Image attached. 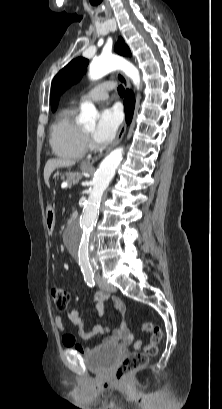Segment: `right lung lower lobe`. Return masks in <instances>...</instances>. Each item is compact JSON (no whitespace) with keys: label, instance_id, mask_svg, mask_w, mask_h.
<instances>
[{"label":"right lung lower lobe","instance_id":"right-lung-lower-lobe-1","mask_svg":"<svg viewBox=\"0 0 222 409\" xmlns=\"http://www.w3.org/2000/svg\"><path fill=\"white\" fill-rule=\"evenodd\" d=\"M124 107H125V113H126V122L127 124H129L131 122L134 107H135L134 94L130 90H127L126 97L124 100Z\"/></svg>","mask_w":222,"mask_h":409}]
</instances>
